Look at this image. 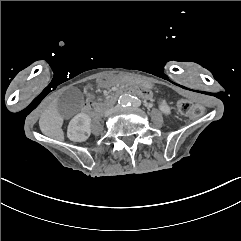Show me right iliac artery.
<instances>
[{
	"label": "right iliac artery",
	"mask_w": 241,
	"mask_h": 241,
	"mask_svg": "<svg viewBox=\"0 0 241 241\" xmlns=\"http://www.w3.org/2000/svg\"><path fill=\"white\" fill-rule=\"evenodd\" d=\"M131 102V97L130 96H125L121 100H119V104L123 107H127L130 105Z\"/></svg>",
	"instance_id": "right-iliac-artery-1"
}]
</instances>
